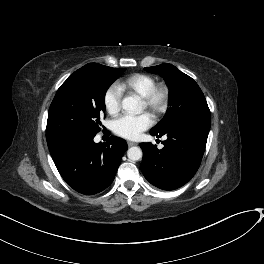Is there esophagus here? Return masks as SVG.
<instances>
[{
  "label": "esophagus",
  "mask_w": 264,
  "mask_h": 264,
  "mask_svg": "<svg viewBox=\"0 0 264 264\" xmlns=\"http://www.w3.org/2000/svg\"><path fill=\"white\" fill-rule=\"evenodd\" d=\"M127 144H128L129 147L136 145L135 142H131V141H128Z\"/></svg>",
  "instance_id": "34e87169"
}]
</instances>
